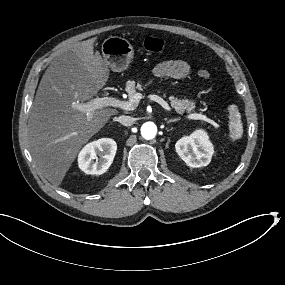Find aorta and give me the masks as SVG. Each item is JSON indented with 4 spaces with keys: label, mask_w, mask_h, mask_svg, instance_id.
Listing matches in <instances>:
<instances>
[{
    "label": "aorta",
    "mask_w": 285,
    "mask_h": 285,
    "mask_svg": "<svg viewBox=\"0 0 285 285\" xmlns=\"http://www.w3.org/2000/svg\"><path fill=\"white\" fill-rule=\"evenodd\" d=\"M141 136L145 140H152L157 136V126L152 122H146L141 126Z\"/></svg>",
    "instance_id": "obj_1"
}]
</instances>
